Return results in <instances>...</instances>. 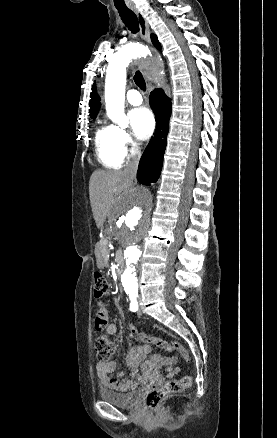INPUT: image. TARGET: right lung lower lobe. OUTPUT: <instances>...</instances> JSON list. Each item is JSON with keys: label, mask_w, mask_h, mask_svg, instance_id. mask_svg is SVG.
Returning <instances> with one entry per match:
<instances>
[{"label": "right lung lower lobe", "mask_w": 277, "mask_h": 438, "mask_svg": "<svg viewBox=\"0 0 277 438\" xmlns=\"http://www.w3.org/2000/svg\"><path fill=\"white\" fill-rule=\"evenodd\" d=\"M150 104L156 116L157 128L141 157L137 173L138 181L145 185L156 182L160 176L172 111L171 100L161 89L151 92Z\"/></svg>", "instance_id": "right-lung-lower-lobe-1"}]
</instances>
